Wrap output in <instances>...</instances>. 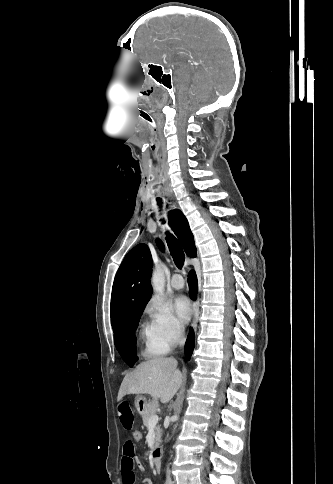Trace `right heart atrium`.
Listing matches in <instances>:
<instances>
[{"label":"right heart atrium","mask_w":333,"mask_h":484,"mask_svg":"<svg viewBox=\"0 0 333 484\" xmlns=\"http://www.w3.org/2000/svg\"><path fill=\"white\" fill-rule=\"evenodd\" d=\"M146 312L157 347L163 352L175 347L183 336L184 328L170 307L159 301H152L147 305Z\"/></svg>","instance_id":"right-heart-atrium-1"}]
</instances>
